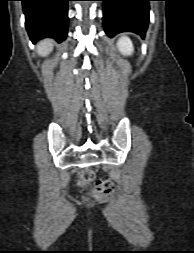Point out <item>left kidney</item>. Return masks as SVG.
Instances as JSON below:
<instances>
[{"label": "left kidney", "instance_id": "1", "mask_svg": "<svg viewBox=\"0 0 194 253\" xmlns=\"http://www.w3.org/2000/svg\"><path fill=\"white\" fill-rule=\"evenodd\" d=\"M118 49L119 51L125 55V56H128V55H131L132 52H133V47H132V43L130 41V39L128 37H121L119 40H118Z\"/></svg>", "mask_w": 194, "mask_h": 253}]
</instances>
